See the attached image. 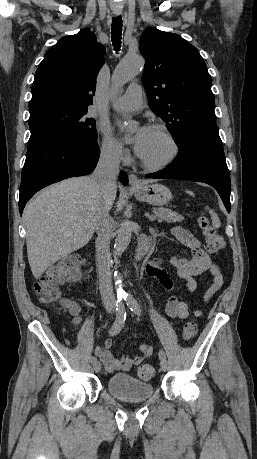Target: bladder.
<instances>
[{
    "instance_id": "bladder-1",
    "label": "bladder",
    "mask_w": 257,
    "mask_h": 459,
    "mask_svg": "<svg viewBox=\"0 0 257 459\" xmlns=\"http://www.w3.org/2000/svg\"><path fill=\"white\" fill-rule=\"evenodd\" d=\"M108 392L125 402H140L148 400L154 394L151 384L137 380L127 373H115L107 382Z\"/></svg>"
}]
</instances>
